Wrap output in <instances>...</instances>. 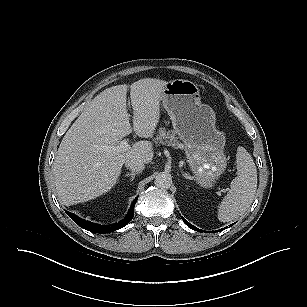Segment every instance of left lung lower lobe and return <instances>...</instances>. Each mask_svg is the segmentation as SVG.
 I'll list each match as a JSON object with an SVG mask.
<instances>
[{
  "label": "left lung lower lobe",
  "mask_w": 307,
  "mask_h": 307,
  "mask_svg": "<svg viewBox=\"0 0 307 307\" xmlns=\"http://www.w3.org/2000/svg\"><path fill=\"white\" fill-rule=\"evenodd\" d=\"M182 220L184 221V223L189 227V228H191V229H193V230H195V231H199V232H203V230H201V229H199V228H197V227H194L192 224H190L189 222H187L183 217H182ZM234 224V223H233ZM232 224V225H233ZM231 226V225H230ZM226 228H228V227H225V228H223V229H221V230H224V229H226ZM220 230H217V231H213V232H219ZM205 232V231H204ZM211 232V231H210Z\"/></svg>",
  "instance_id": "0a47b994"
}]
</instances>
